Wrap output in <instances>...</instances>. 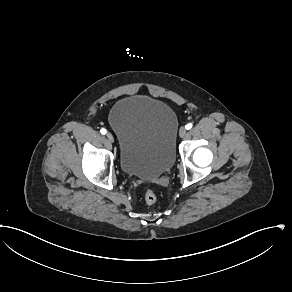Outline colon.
Listing matches in <instances>:
<instances>
[{
	"label": "colon",
	"mask_w": 292,
	"mask_h": 292,
	"mask_svg": "<svg viewBox=\"0 0 292 292\" xmlns=\"http://www.w3.org/2000/svg\"><path fill=\"white\" fill-rule=\"evenodd\" d=\"M144 200L147 205H154L157 201L156 193L152 189H148L144 195Z\"/></svg>",
	"instance_id": "1"
}]
</instances>
